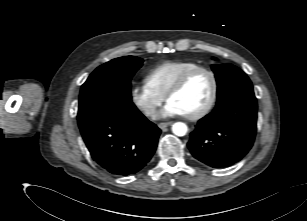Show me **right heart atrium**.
Returning <instances> with one entry per match:
<instances>
[{"instance_id":"obj_1","label":"right heart atrium","mask_w":307,"mask_h":221,"mask_svg":"<svg viewBox=\"0 0 307 221\" xmlns=\"http://www.w3.org/2000/svg\"><path fill=\"white\" fill-rule=\"evenodd\" d=\"M133 105L146 117H154L164 98L152 91L146 84H136L130 90Z\"/></svg>"}]
</instances>
